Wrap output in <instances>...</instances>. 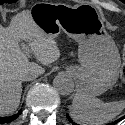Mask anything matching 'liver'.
<instances>
[{"instance_id": "obj_1", "label": "liver", "mask_w": 125, "mask_h": 125, "mask_svg": "<svg viewBox=\"0 0 125 125\" xmlns=\"http://www.w3.org/2000/svg\"><path fill=\"white\" fill-rule=\"evenodd\" d=\"M20 41L28 42L34 57L42 65H49L60 57L54 38L47 37L33 22L30 11L15 15L8 27L0 24V116L13 114L20 104L22 76L44 68L29 61Z\"/></svg>"}]
</instances>
